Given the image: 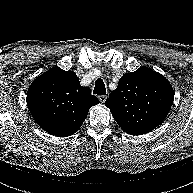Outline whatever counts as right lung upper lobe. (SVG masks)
Instances as JSON below:
<instances>
[{
	"instance_id": "1",
	"label": "right lung upper lobe",
	"mask_w": 193,
	"mask_h": 193,
	"mask_svg": "<svg viewBox=\"0 0 193 193\" xmlns=\"http://www.w3.org/2000/svg\"><path fill=\"white\" fill-rule=\"evenodd\" d=\"M26 100L35 122L58 137L76 133L89 109L99 103L90 88L79 84L75 72L59 67L38 76L29 86Z\"/></svg>"
}]
</instances>
